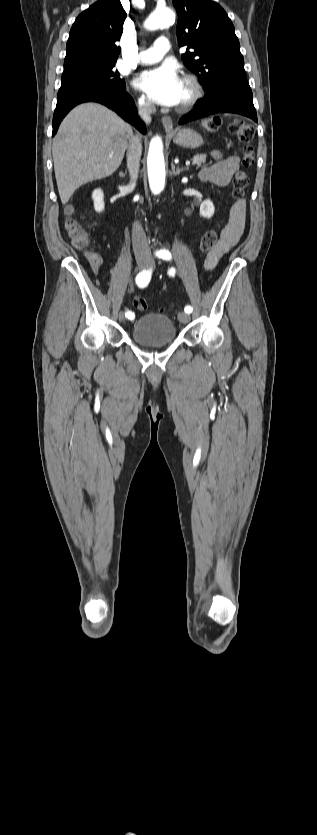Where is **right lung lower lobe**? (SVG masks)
I'll use <instances>...</instances> for the list:
<instances>
[{"label": "right lung lower lobe", "mask_w": 317, "mask_h": 835, "mask_svg": "<svg viewBox=\"0 0 317 835\" xmlns=\"http://www.w3.org/2000/svg\"><path fill=\"white\" fill-rule=\"evenodd\" d=\"M83 102H98L119 114L125 121L133 124L140 132L146 133L144 123L137 115L133 99L126 92V89L115 87H95L77 91L58 99L53 116L54 136L58 127L67 113L76 105Z\"/></svg>", "instance_id": "right-lung-lower-lobe-1"}]
</instances>
